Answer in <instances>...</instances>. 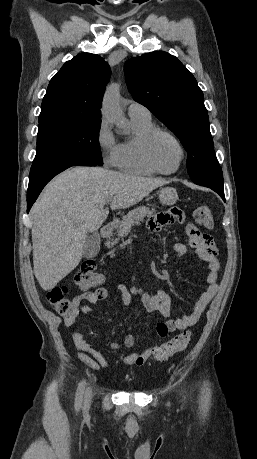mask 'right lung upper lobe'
Returning <instances> with one entry per match:
<instances>
[{"label":"right lung upper lobe","mask_w":257,"mask_h":459,"mask_svg":"<svg viewBox=\"0 0 257 459\" xmlns=\"http://www.w3.org/2000/svg\"><path fill=\"white\" fill-rule=\"evenodd\" d=\"M111 70L100 56L81 53L51 79L41 113L64 112L101 119L100 104Z\"/></svg>","instance_id":"right-lung-upper-lobe-1"}]
</instances>
